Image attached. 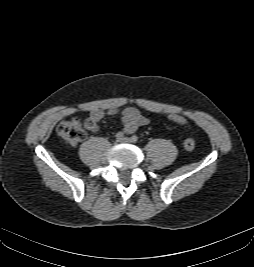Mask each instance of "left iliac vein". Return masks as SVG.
Listing matches in <instances>:
<instances>
[{
	"label": "left iliac vein",
	"instance_id": "obj_1",
	"mask_svg": "<svg viewBox=\"0 0 254 267\" xmlns=\"http://www.w3.org/2000/svg\"><path fill=\"white\" fill-rule=\"evenodd\" d=\"M120 142L131 143L132 141H131L130 138H127V137H126V138L121 139Z\"/></svg>",
	"mask_w": 254,
	"mask_h": 267
}]
</instances>
